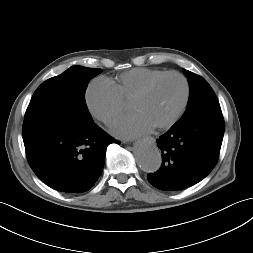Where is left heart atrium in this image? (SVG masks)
<instances>
[{"label":"left heart atrium","mask_w":253,"mask_h":253,"mask_svg":"<svg viewBox=\"0 0 253 253\" xmlns=\"http://www.w3.org/2000/svg\"><path fill=\"white\" fill-rule=\"evenodd\" d=\"M155 126L140 113H133L118 120L113 132L122 138H132L151 131Z\"/></svg>","instance_id":"obj_1"}]
</instances>
